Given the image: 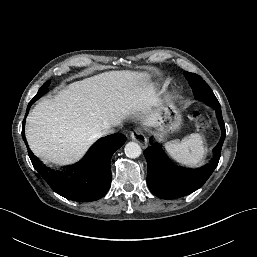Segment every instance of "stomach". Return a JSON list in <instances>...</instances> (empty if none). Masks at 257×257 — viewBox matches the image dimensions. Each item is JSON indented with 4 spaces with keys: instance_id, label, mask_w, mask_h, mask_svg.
<instances>
[{
    "instance_id": "1",
    "label": "stomach",
    "mask_w": 257,
    "mask_h": 257,
    "mask_svg": "<svg viewBox=\"0 0 257 257\" xmlns=\"http://www.w3.org/2000/svg\"><path fill=\"white\" fill-rule=\"evenodd\" d=\"M153 76H157L156 71H151ZM182 125V116L177 107L166 102L159 108V118L157 120L156 136L162 141L168 134L174 133L180 129Z\"/></svg>"
}]
</instances>
